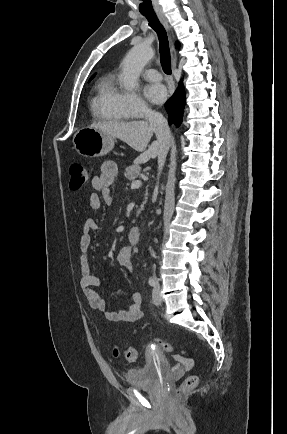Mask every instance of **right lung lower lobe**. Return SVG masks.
<instances>
[{
  "label": "right lung lower lobe",
  "mask_w": 287,
  "mask_h": 434,
  "mask_svg": "<svg viewBox=\"0 0 287 434\" xmlns=\"http://www.w3.org/2000/svg\"><path fill=\"white\" fill-rule=\"evenodd\" d=\"M185 106V92L182 81H180L177 90L165 103V109L169 114V123H174L177 127L182 123V117Z\"/></svg>",
  "instance_id": "obj_1"
}]
</instances>
